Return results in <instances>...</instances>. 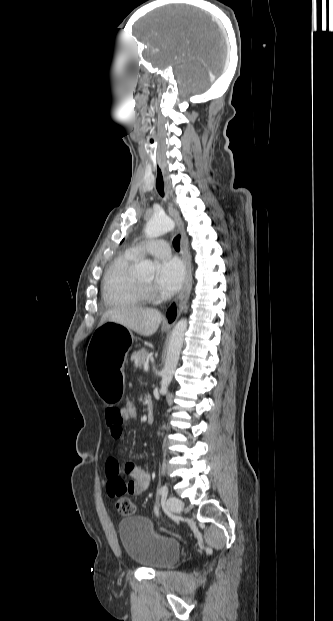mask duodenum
<instances>
[{
	"label": "duodenum",
	"instance_id": "1",
	"mask_svg": "<svg viewBox=\"0 0 333 621\" xmlns=\"http://www.w3.org/2000/svg\"><path fill=\"white\" fill-rule=\"evenodd\" d=\"M154 419V410L151 402H148L147 406V421L152 422Z\"/></svg>",
	"mask_w": 333,
	"mask_h": 621
}]
</instances>
